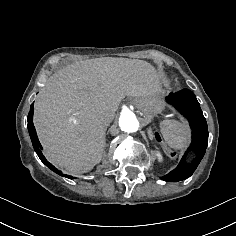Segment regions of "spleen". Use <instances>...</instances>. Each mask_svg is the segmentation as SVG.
Masks as SVG:
<instances>
[{"mask_svg": "<svg viewBox=\"0 0 236 236\" xmlns=\"http://www.w3.org/2000/svg\"><path fill=\"white\" fill-rule=\"evenodd\" d=\"M161 132L167 144L174 149H184L189 143L190 129L178 121H163Z\"/></svg>", "mask_w": 236, "mask_h": 236, "instance_id": "1", "label": "spleen"}]
</instances>
